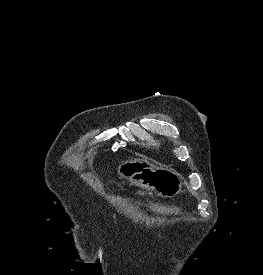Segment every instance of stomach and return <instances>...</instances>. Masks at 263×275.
<instances>
[{"label":"stomach","instance_id":"stomach-1","mask_svg":"<svg viewBox=\"0 0 263 275\" xmlns=\"http://www.w3.org/2000/svg\"><path fill=\"white\" fill-rule=\"evenodd\" d=\"M121 178L132 184L153 190L163 198L175 197L182 190V180L173 170L159 168L141 159H131L118 167Z\"/></svg>","mask_w":263,"mask_h":275}]
</instances>
